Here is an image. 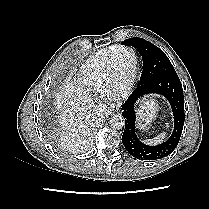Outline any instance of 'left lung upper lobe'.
I'll return each instance as SVG.
<instances>
[{
  "label": "left lung upper lobe",
  "instance_id": "1",
  "mask_svg": "<svg viewBox=\"0 0 209 209\" xmlns=\"http://www.w3.org/2000/svg\"><path fill=\"white\" fill-rule=\"evenodd\" d=\"M122 44L137 48L143 59V71L138 86L150 85L161 76L176 73L166 54L154 44L142 38H130Z\"/></svg>",
  "mask_w": 209,
  "mask_h": 209
}]
</instances>
